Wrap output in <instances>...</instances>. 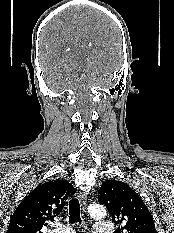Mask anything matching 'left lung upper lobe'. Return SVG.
I'll use <instances>...</instances> for the list:
<instances>
[{"label": "left lung upper lobe", "instance_id": "1", "mask_svg": "<svg viewBox=\"0 0 174 233\" xmlns=\"http://www.w3.org/2000/svg\"><path fill=\"white\" fill-rule=\"evenodd\" d=\"M98 202L104 204L116 224L115 233H157L147 206L126 183L107 180L98 190Z\"/></svg>", "mask_w": 174, "mask_h": 233}]
</instances>
